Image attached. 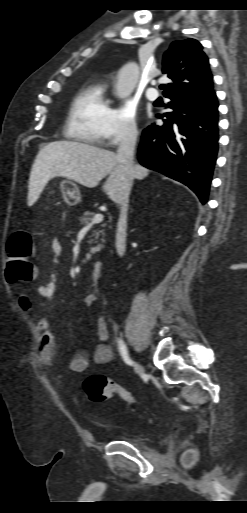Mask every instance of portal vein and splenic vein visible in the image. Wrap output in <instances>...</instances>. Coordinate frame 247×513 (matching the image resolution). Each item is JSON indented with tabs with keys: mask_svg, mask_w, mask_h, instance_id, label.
<instances>
[{
	"mask_svg": "<svg viewBox=\"0 0 247 513\" xmlns=\"http://www.w3.org/2000/svg\"><path fill=\"white\" fill-rule=\"evenodd\" d=\"M103 218H104L103 214H101V213L95 214L92 221L90 223H88L86 226H92L94 224L100 223L103 221Z\"/></svg>",
	"mask_w": 247,
	"mask_h": 513,
	"instance_id": "portal-vein-and-splenic-vein-1",
	"label": "portal vein and splenic vein"
}]
</instances>
